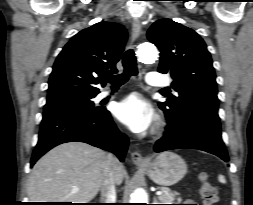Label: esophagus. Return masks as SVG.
<instances>
[{
	"label": "esophagus",
	"instance_id": "34e87169",
	"mask_svg": "<svg viewBox=\"0 0 253 205\" xmlns=\"http://www.w3.org/2000/svg\"><path fill=\"white\" fill-rule=\"evenodd\" d=\"M141 34V24L139 20L135 19L132 22V37L131 41L134 46L135 42L137 41L138 37ZM131 159L135 164H143L146 162V159L137 151L131 152Z\"/></svg>",
	"mask_w": 253,
	"mask_h": 205
}]
</instances>
